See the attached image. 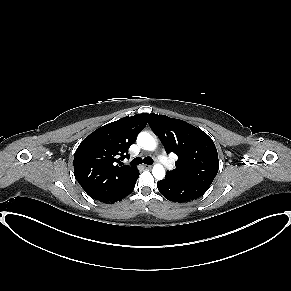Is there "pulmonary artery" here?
<instances>
[{"label":"pulmonary artery","instance_id":"obj_1","mask_svg":"<svg viewBox=\"0 0 291 291\" xmlns=\"http://www.w3.org/2000/svg\"><path fill=\"white\" fill-rule=\"evenodd\" d=\"M159 160L160 162L167 168H170L171 164L170 162L168 161V159L164 156V155H159Z\"/></svg>","mask_w":291,"mask_h":291}]
</instances>
